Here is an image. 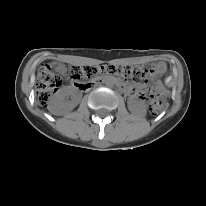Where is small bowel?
Returning <instances> with one entry per match:
<instances>
[{
	"label": "small bowel",
	"mask_w": 206,
	"mask_h": 206,
	"mask_svg": "<svg viewBox=\"0 0 206 206\" xmlns=\"http://www.w3.org/2000/svg\"><path fill=\"white\" fill-rule=\"evenodd\" d=\"M165 69H166V65L163 62H160V63L157 64L154 72L156 74H161L165 71Z\"/></svg>",
	"instance_id": "1"
}]
</instances>
